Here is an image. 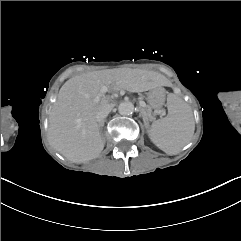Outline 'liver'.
Instances as JSON below:
<instances>
[{"mask_svg": "<svg viewBox=\"0 0 241 241\" xmlns=\"http://www.w3.org/2000/svg\"><path fill=\"white\" fill-rule=\"evenodd\" d=\"M154 72L137 69L99 70L76 75L60 88L50 117L48 141L61 155L74 163L97 158L104 140L96 115L113 108L107 91L137 93L157 86Z\"/></svg>", "mask_w": 241, "mask_h": 241, "instance_id": "liver-1", "label": "liver"}]
</instances>
